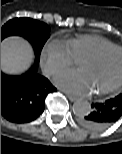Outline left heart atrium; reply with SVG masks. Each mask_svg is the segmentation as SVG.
Returning <instances> with one entry per match:
<instances>
[{
  "label": "left heart atrium",
  "instance_id": "obj_1",
  "mask_svg": "<svg viewBox=\"0 0 122 154\" xmlns=\"http://www.w3.org/2000/svg\"><path fill=\"white\" fill-rule=\"evenodd\" d=\"M56 85L75 95H87L92 92L86 75L81 70H65L54 77Z\"/></svg>",
  "mask_w": 122,
  "mask_h": 154
}]
</instances>
